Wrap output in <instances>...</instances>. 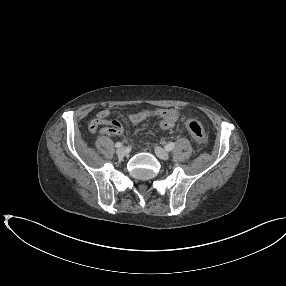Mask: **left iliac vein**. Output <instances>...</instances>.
Segmentation results:
<instances>
[{"instance_id": "1", "label": "left iliac vein", "mask_w": 286, "mask_h": 286, "mask_svg": "<svg viewBox=\"0 0 286 286\" xmlns=\"http://www.w3.org/2000/svg\"><path fill=\"white\" fill-rule=\"evenodd\" d=\"M155 154L162 160H168L170 157L169 153L159 146L155 147Z\"/></svg>"}]
</instances>
